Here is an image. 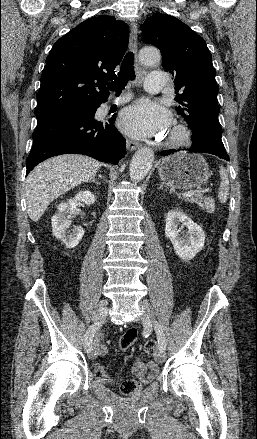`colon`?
<instances>
[{"label": "colon", "mask_w": 257, "mask_h": 439, "mask_svg": "<svg viewBox=\"0 0 257 439\" xmlns=\"http://www.w3.org/2000/svg\"><path fill=\"white\" fill-rule=\"evenodd\" d=\"M137 338V330L135 328H129L124 332L120 339V349L122 351L128 350L135 342ZM155 352V343L153 341H148L144 346V353L147 356H153ZM93 371L95 376L105 382H113V377L109 374L102 366L98 364L93 365ZM140 388L138 381L134 379L126 380L121 385V391L125 394H131L136 392Z\"/></svg>", "instance_id": "colon-1"}]
</instances>
